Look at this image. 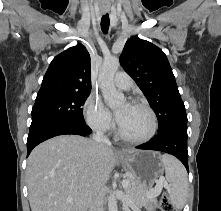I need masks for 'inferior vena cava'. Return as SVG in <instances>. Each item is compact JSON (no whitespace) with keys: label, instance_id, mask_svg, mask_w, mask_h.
I'll use <instances>...</instances> for the list:
<instances>
[{"label":"inferior vena cava","instance_id":"obj_1","mask_svg":"<svg viewBox=\"0 0 221 211\" xmlns=\"http://www.w3.org/2000/svg\"><path fill=\"white\" fill-rule=\"evenodd\" d=\"M93 140L98 144L111 146L109 139L104 135V130L101 128L97 129L96 132L93 134ZM103 191V185L99 183L93 196L89 211H104Z\"/></svg>","mask_w":221,"mask_h":211}]
</instances>
